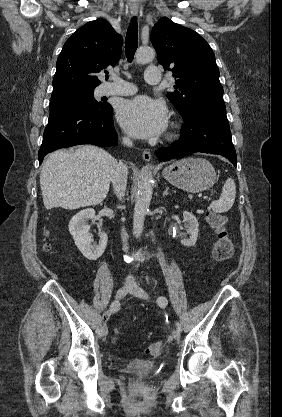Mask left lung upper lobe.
Wrapping results in <instances>:
<instances>
[{
  "label": "left lung upper lobe",
  "instance_id": "left-lung-upper-lobe-1",
  "mask_svg": "<svg viewBox=\"0 0 282 417\" xmlns=\"http://www.w3.org/2000/svg\"><path fill=\"white\" fill-rule=\"evenodd\" d=\"M150 39L159 63L173 72L177 90L167 97L180 114L200 98L222 99L215 55L197 32L163 17L152 28Z\"/></svg>",
  "mask_w": 282,
  "mask_h": 417
}]
</instances>
